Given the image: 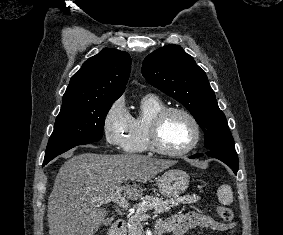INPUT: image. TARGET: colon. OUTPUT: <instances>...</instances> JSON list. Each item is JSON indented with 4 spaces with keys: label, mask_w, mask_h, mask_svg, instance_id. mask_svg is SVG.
I'll return each instance as SVG.
<instances>
[{
    "label": "colon",
    "mask_w": 283,
    "mask_h": 235,
    "mask_svg": "<svg viewBox=\"0 0 283 235\" xmlns=\"http://www.w3.org/2000/svg\"><path fill=\"white\" fill-rule=\"evenodd\" d=\"M216 212L219 218L224 222H231L233 220V212L229 207L218 205Z\"/></svg>",
    "instance_id": "1"
}]
</instances>
